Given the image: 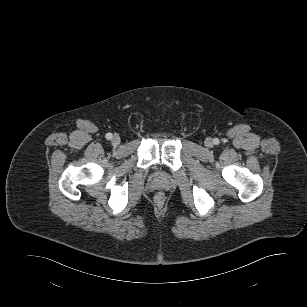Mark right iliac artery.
I'll return each mask as SVG.
<instances>
[{
    "mask_svg": "<svg viewBox=\"0 0 307 307\" xmlns=\"http://www.w3.org/2000/svg\"><path fill=\"white\" fill-rule=\"evenodd\" d=\"M106 138H107L108 140H110V139L112 138V134H111V133H107V134H106Z\"/></svg>",
    "mask_w": 307,
    "mask_h": 307,
    "instance_id": "82829eb1",
    "label": "right iliac artery"
}]
</instances>
